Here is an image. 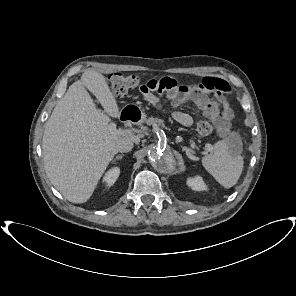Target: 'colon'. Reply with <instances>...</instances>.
Segmentation results:
<instances>
[{
	"instance_id": "5ec220e1",
	"label": "colon",
	"mask_w": 296,
	"mask_h": 296,
	"mask_svg": "<svg viewBox=\"0 0 296 296\" xmlns=\"http://www.w3.org/2000/svg\"><path fill=\"white\" fill-rule=\"evenodd\" d=\"M140 83L139 77L136 75H125L121 73L112 74L108 79L111 90L117 96H125L130 90L136 88ZM205 116L211 121H221L223 119V111L220 105L215 103L207 104L204 109ZM197 131L202 136H207L213 131L212 123L208 120H201L197 124Z\"/></svg>"
}]
</instances>
